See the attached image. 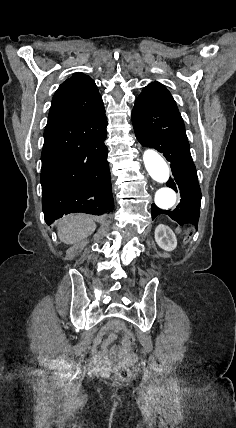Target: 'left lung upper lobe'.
<instances>
[{
  "label": "left lung upper lobe",
  "mask_w": 236,
  "mask_h": 428,
  "mask_svg": "<svg viewBox=\"0 0 236 428\" xmlns=\"http://www.w3.org/2000/svg\"><path fill=\"white\" fill-rule=\"evenodd\" d=\"M135 105L159 110L178 111L169 91L161 83L154 82L146 86L136 99Z\"/></svg>",
  "instance_id": "left-lung-upper-lobe-1"
}]
</instances>
